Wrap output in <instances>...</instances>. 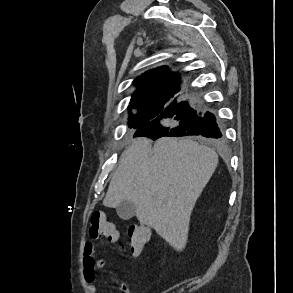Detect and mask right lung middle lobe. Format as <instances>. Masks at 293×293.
Wrapping results in <instances>:
<instances>
[{
    "label": "right lung middle lobe",
    "instance_id": "right-lung-middle-lobe-1",
    "mask_svg": "<svg viewBox=\"0 0 293 293\" xmlns=\"http://www.w3.org/2000/svg\"><path fill=\"white\" fill-rule=\"evenodd\" d=\"M156 117V112L154 110H148V107L139 108L136 114H132L129 111V122L130 128L138 129L142 125L148 123Z\"/></svg>",
    "mask_w": 293,
    "mask_h": 293
}]
</instances>
